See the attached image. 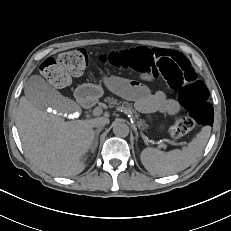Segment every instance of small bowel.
I'll return each instance as SVG.
<instances>
[{"mask_svg": "<svg viewBox=\"0 0 231 231\" xmlns=\"http://www.w3.org/2000/svg\"><path fill=\"white\" fill-rule=\"evenodd\" d=\"M103 82L111 92L135 100L137 107L143 111L154 112L161 109L175 114L179 110L175 101L166 99L161 92L150 94L146 87L138 82L110 74L104 76Z\"/></svg>", "mask_w": 231, "mask_h": 231, "instance_id": "c3829d8e", "label": "small bowel"}]
</instances>
